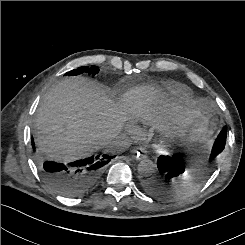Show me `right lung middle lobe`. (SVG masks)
Wrapping results in <instances>:
<instances>
[{
	"label": "right lung middle lobe",
	"mask_w": 245,
	"mask_h": 245,
	"mask_svg": "<svg viewBox=\"0 0 245 245\" xmlns=\"http://www.w3.org/2000/svg\"><path fill=\"white\" fill-rule=\"evenodd\" d=\"M98 72H99V68L93 65L91 67H85V66L79 67V68L74 69L70 72H67L65 75L75 76V75H79L81 73H88L91 75H96Z\"/></svg>",
	"instance_id": "1"
}]
</instances>
